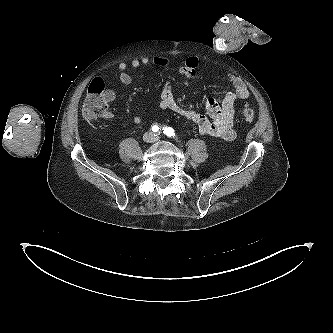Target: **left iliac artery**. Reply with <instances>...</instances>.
I'll use <instances>...</instances> for the list:
<instances>
[{"instance_id": "44dca946", "label": "left iliac artery", "mask_w": 333, "mask_h": 333, "mask_svg": "<svg viewBox=\"0 0 333 333\" xmlns=\"http://www.w3.org/2000/svg\"><path fill=\"white\" fill-rule=\"evenodd\" d=\"M162 130L168 137H175V131L173 128L164 126Z\"/></svg>"}]
</instances>
